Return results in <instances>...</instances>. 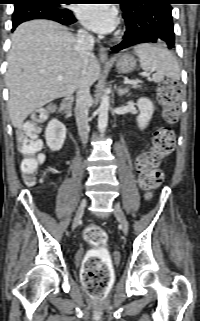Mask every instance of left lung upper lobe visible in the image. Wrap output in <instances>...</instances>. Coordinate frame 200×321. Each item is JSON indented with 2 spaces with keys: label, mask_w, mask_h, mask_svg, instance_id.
I'll use <instances>...</instances> for the list:
<instances>
[{
  "label": "left lung upper lobe",
  "mask_w": 200,
  "mask_h": 321,
  "mask_svg": "<svg viewBox=\"0 0 200 321\" xmlns=\"http://www.w3.org/2000/svg\"><path fill=\"white\" fill-rule=\"evenodd\" d=\"M140 1H143V0H121L120 4H121L122 9H126L130 6H133L137 3H139ZM165 1L173 3L174 0H165Z\"/></svg>",
  "instance_id": "left-lung-upper-lobe-1"
}]
</instances>
